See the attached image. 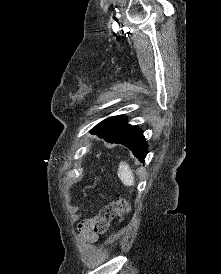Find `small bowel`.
I'll return each mask as SVG.
<instances>
[{
    "instance_id": "obj_1",
    "label": "small bowel",
    "mask_w": 221,
    "mask_h": 274,
    "mask_svg": "<svg viewBox=\"0 0 221 274\" xmlns=\"http://www.w3.org/2000/svg\"><path fill=\"white\" fill-rule=\"evenodd\" d=\"M98 220L96 218L89 219L81 225L82 236L85 240L95 242L98 238Z\"/></svg>"
}]
</instances>
